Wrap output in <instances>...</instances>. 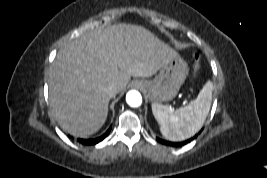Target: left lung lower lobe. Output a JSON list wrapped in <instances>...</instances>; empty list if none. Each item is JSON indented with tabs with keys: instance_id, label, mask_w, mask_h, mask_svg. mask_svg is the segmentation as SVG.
<instances>
[{
	"instance_id": "0a47b994",
	"label": "left lung lower lobe",
	"mask_w": 267,
	"mask_h": 178,
	"mask_svg": "<svg viewBox=\"0 0 267 178\" xmlns=\"http://www.w3.org/2000/svg\"><path fill=\"white\" fill-rule=\"evenodd\" d=\"M197 137V135H195L193 138H191V139H188V140H186V141H183V142H177V143H174V142H168V141H165V140H162V139H160V138H157V141L158 142H160V143H162V144H165V145H170V146H182V145H184V144H187L188 142H190L192 139H194V138H196Z\"/></svg>"
}]
</instances>
